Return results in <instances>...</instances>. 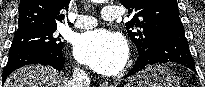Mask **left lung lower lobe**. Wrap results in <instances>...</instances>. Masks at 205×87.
Here are the masks:
<instances>
[{
    "label": "left lung lower lobe",
    "instance_id": "1",
    "mask_svg": "<svg viewBox=\"0 0 205 87\" xmlns=\"http://www.w3.org/2000/svg\"><path fill=\"white\" fill-rule=\"evenodd\" d=\"M166 62H176L195 71V62L189 52L183 27L170 29L159 36L152 47V51L139 56L136 64L126 77L144 69L146 65Z\"/></svg>",
    "mask_w": 205,
    "mask_h": 87
}]
</instances>
